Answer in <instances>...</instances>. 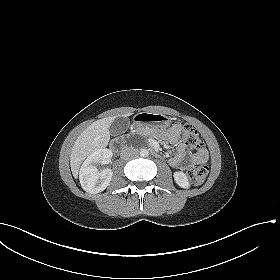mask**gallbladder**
<instances>
[{
    "mask_svg": "<svg viewBox=\"0 0 280 280\" xmlns=\"http://www.w3.org/2000/svg\"><path fill=\"white\" fill-rule=\"evenodd\" d=\"M129 119L124 116L116 117L109 127V131L113 136L121 135L126 132L129 127Z\"/></svg>",
    "mask_w": 280,
    "mask_h": 280,
    "instance_id": "bac80fb5",
    "label": "gallbladder"
}]
</instances>
